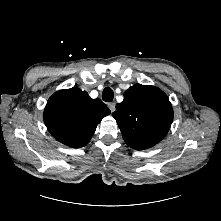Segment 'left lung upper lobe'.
I'll use <instances>...</instances> for the list:
<instances>
[{
	"instance_id": "1",
	"label": "left lung upper lobe",
	"mask_w": 221,
	"mask_h": 221,
	"mask_svg": "<svg viewBox=\"0 0 221 221\" xmlns=\"http://www.w3.org/2000/svg\"><path fill=\"white\" fill-rule=\"evenodd\" d=\"M113 117L131 148L143 150L156 145L168 133L173 109L168 97L154 86L136 84L124 93Z\"/></svg>"
}]
</instances>
